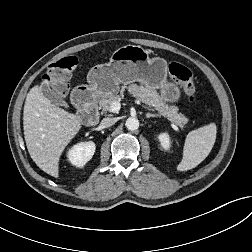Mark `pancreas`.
<instances>
[{
  "instance_id": "obj_1",
  "label": "pancreas",
  "mask_w": 252,
  "mask_h": 252,
  "mask_svg": "<svg viewBox=\"0 0 252 252\" xmlns=\"http://www.w3.org/2000/svg\"><path fill=\"white\" fill-rule=\"evenodd\" d=\"M134 97L141 100L143 103L154 107L159 113H162L169 117V119L176 125L183 128L188 122V119L178 113V108L175 106H168L166 97L164 95H159L156 90L147 87H139L137 92L133 94ZM123 97V91L120 95H111L108 97H103L99 101V107L102 111H110V106L113 102H120Z\"/></svg>"
}]
</instances>
